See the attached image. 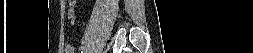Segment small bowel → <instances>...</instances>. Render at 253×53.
<instances>
[{
    "instance_id": "small-bowel-1",
    "label": "small bowel",
    "mask_w": 253,
    "mask_h": 53,
    "mask_svg": "<svg viewBox=\"0 0 253 53\" xmlns=\"http://www.w3.org/2000/svg\"><path fill=\"white\" fill-rule=\"evenodd\" d=\"M75 3H76V1H69L68 18L72 24H74V22L76 20ZM64 49L67 53L74 52V46L71 42H65Z\"/></svg>"
}]
</instances>
